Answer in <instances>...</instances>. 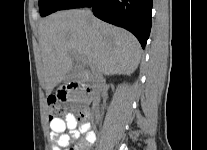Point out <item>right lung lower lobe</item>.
<instances>
[{"label": "right lung lower lobe", "instance_id": "right-lung-lower-lobe-1", "mask_svg": "<svg viewBox=\"0 0 207 150\" xmlns=\"http://www.w3.org/2000/svg\"><path fill=\"white\" fill-rule=\"evenodd\" d=\"M92 7L94 15L133 33L145 48L151 30L152 0H66L59 10Z\"/></svg>", "mask_w": 207, "mask_h": 150}]
</instances>
